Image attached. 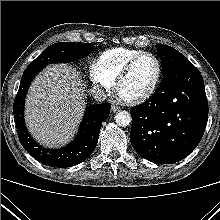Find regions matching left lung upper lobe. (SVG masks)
Listing matches in <instances>:
<instances>
[{"mask_svg": "<svg viewBox=\"0 0 220 220\" xmlns=\"http://www.w3.org/2000/svg\"><path fill=\"white\" fill-rule=\"evenodd\" d=\"M158 52L162 61V72L192 64L183 54L168 45H158Z\"/></svg>", "mask_w": 220, "mask_h": 220, "instance_id": "1", "label": "left lung upper lobe"}]
</instances>
